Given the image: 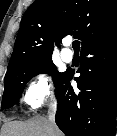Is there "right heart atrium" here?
Wrapping results in <instances>:
<instances>
[{"instance_id":"d8ad5b80","label":"right heart atrium","mask_w":117,"mask_h":136,"mask_svg":"<svg viewBox=\"0 0 117 136\" xmlns=\"http://www.w3.org/2000/svg\"><path fill=\"white\" fill-rule=\"evenodd\" d=\"M53 94L51 77L43 70L37 71L28 82L24 91L25 102L37 108L44 104Z\"/></svg>"}]
</instances>
